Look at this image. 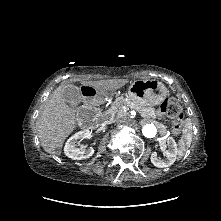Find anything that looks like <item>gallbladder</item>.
I'll list each match as a JSON object with an SVG mask.
<instances>
[{
    "label": "gallbladder",
    "instance_id": "1",
    "mask_svg": "<svg viewBox=\"0 0 221 221\" xmlns=\"http://www.w3.org/2000/svg\"><path fill=\"white\" fill-rule=\"evenodd\" d=\"M63 98L69 104H78L82 100V95L78 87L68 85L63 89Z\"/></svg>",
    "mask_w": 221,
    "mask_h": 221
}]
</instances>
